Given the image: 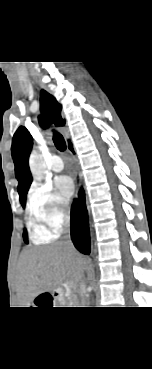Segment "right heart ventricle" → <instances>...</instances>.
I'll return each instance as SVG.
<instances>
[{"instance_id": "right-heart-ventricle-1", "label": "right heart ventricle", "mask_w": 152, "mask_h": 369, "mask_svg": "<svg viewBox=\"0 0 152 369\" xmlns=\"http://www.w3.org/2000/svg\"><path fill=\"white\" fill-rule=\"evenodd\" d=\"M29 226L32 230L33 237L38 241H47L54 236L49 235L45 232L43 227L31 216L29 219Z\"/></svg>"}]
</instances>
